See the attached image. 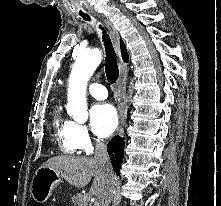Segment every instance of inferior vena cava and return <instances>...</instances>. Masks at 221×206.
I'll use <instances>...</instances> for the list:
<instances>
[{"label": "inferior vena cava", "mask_w": 221, "mask_h": 206, "mask_svg": "<svg viewBox=\"0 0 221 206\" xmlns=\"http://www.w3.org/2000/svg\"><path fill=\"white\" fill-rule=\"evenodd\" d=\"M94 158L101 166L105 177L102 192L97 197L94 206H108L113 197L115 176L109 161L106 145L99 139L96 140Z\"/></svg>", "instance_id": "obj_1"}]
</instances>
